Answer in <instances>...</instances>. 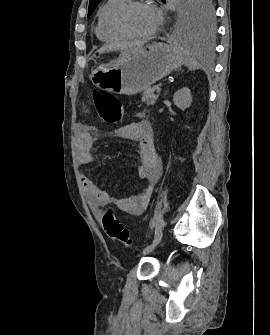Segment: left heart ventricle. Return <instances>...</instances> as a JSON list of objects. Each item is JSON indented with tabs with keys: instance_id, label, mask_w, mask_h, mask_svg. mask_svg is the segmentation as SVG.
Instances as JSON below:
<instances>
[{
	"instance_id": "left-heart-ventricle-1",
	"label": "left heart ventricle",
	"mask_w": 270,
	"mask_h": 335,
	"mask_svg": "<svg viewBox=\"0 0 270 335\" xmlns=\"http://www.w3.org/2000/svg\"><path fill=\"white\" fill-rule=\"evenodd\" d=\"M128 29L137 35H144L149 28V20L143 7L132 9L126 18Z\"/></svg>"
}]
</instances>
